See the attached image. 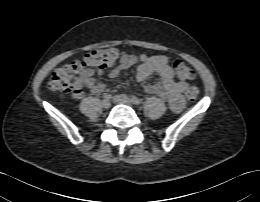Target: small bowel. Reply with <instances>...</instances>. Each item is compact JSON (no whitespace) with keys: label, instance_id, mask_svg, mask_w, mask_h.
I'll return each instance as SVG.
<instances>
[{"label":"small bowel","instance_id":"c3829d8e","mask_svg":"<svg viewBox=\"0 0 260 202\" xmlns=\"http://www.w3.org/2000/svg\"><path fill=\"white\" fill-rule=\"evenodd\" d=\"M138 61L140 64L136 70V78L139 83L143 84L152 74L159 76L156 83L144 86L146 92L162 98L174 111H181L183 108L182 94L188 89V84L175 80L174 72L167 58L162 55H141L138 57L133 54H125L120 58L118 66L110 71L109 77L118 79L122 71L134 66ZM83 85L93 94H99L105 88L104 83L93 74H87L73 92L74 98L81 99L84 96Z\"/></svg>","mask_w":260,"mask_h":202}]
</instances>
